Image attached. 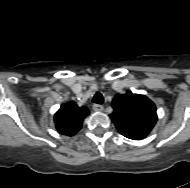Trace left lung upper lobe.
<instances>
[{
	"label": "left lung upper lobe",
	"mask_w": 190,
	"mask_h": 188,
	"mask_svg": "<svg viewBox=\"0 0 190 188\" xmlns=\"http://www.w3.org/2000/svg\"><path fill=\"white\" fill-rule=\"evenodd\" d=\"M110 118L120 133L132 132L147 136L157 121L155 104L145 95L117 94L112 101Z\"/></svg>",
	"instance_id": "left-lung-upper-lobe-1"
}]
</instances>
